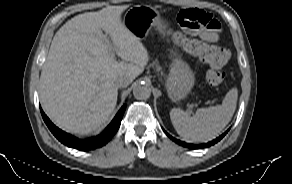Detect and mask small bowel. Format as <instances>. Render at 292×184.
Masks as SVG:
<instances>
[{
	"instance_id": "c3829d8e",
	"label": "small bowel",
	"mask_w": 292,
	"mask_h": 184,
	"mask_svg": "<svg viewBox=\"0 0 292 184\" xmlns=\"http://www.w3.org/2000/svg\"><path fill=\"white\" fill-rule=\"evenodd\" d=\"M218 31L219 30L201 29L199 32L195 34L200 35L203 39L207 41L214 42L218 39Z\"/></svg>"
}]
</instances>
